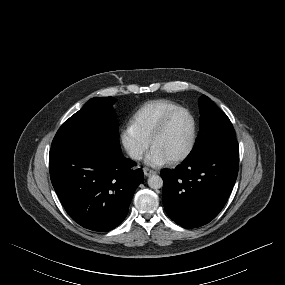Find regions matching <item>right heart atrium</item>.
<instances>
[{"label":"right heart atrium","mask_w":285,"mask_h":285,"mask_svg":"<svg viewBox=\"0 0 285 285\" xmlns=\"http://www.w3.org/2000/svg\"><path fill=\"white\" fill-rule=\"evenodd\" d=\"M121 142L129 157L134 161L142 159L149 147V141L140 135L131 123L123 128Z\"/></svg>","instance_id":"right-heart-atrium-1"}]
</instances>
